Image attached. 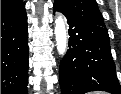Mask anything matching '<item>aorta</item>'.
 <instances>
[{
	"label": "aorta",
	"instance_id": "762f6f07",
	"mask_svg": "<svg viewBox=\"0 0 121 94\" xmlns=\"http://www.w3.org/2000/svg\"><path fill=\"white\" fill-rule=\"evenodd\" d=\"M55 37L57 50L60 56H63L67 50V31L64 19L61 15H58L55 20Z\"/></svg>",
	"mask_w": 121,
	"mask_h": 94
}]
</instances>
